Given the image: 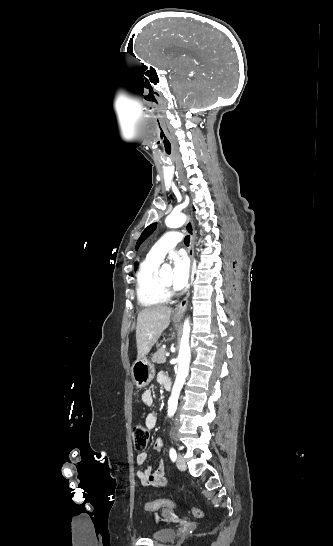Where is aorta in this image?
I'll return each mask as SVG.
<instances>
[{
  "instance_id": "1",
  "label": "aorta",
  "mask_w": 333,
  "mask_h": 546,
  "mask_svg": "<svg viewBox=\"0 0 333 546\" xmlns=\"http://www.w3.org/2000/svg\"><path fill=\"white\" fill-rule=\"evenodd\" d=\"M186 221V216L182 213H171L165 220L167 227L178 228L181 227ZM171 272V266L167 263L162 265L160 270L161 275H165ZM190 325L189 320L186 319L183 328V335L181 339V345L178 355V371L177 376L172 388L171 396L168 401V415L173 416L178 404V398L180 391L185 383L186 377L189 372L190 363V346H189Z\"/></svg>"
}]
</instances>
